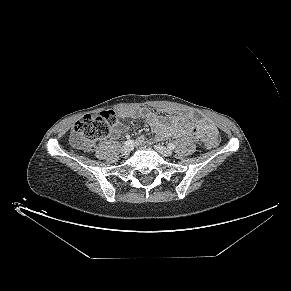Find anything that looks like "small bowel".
<instances>
[{
    "mask_svg": "<svg viewBox=\"0 0 291 291\" xmlns=\"http://www.w3.org/2000/svg\"><path fill=\"white\" fill-rule=\"evenodd\" d=\"M127 115L131 118L144 119L159 139L169 136L176 138L190 136L197 140L205 141L210 134L216 132V128L211 122L199 119L195 115L188 117L189 119L195 120L194 124L189 123L188 118L181 115L163 117L146 109L131 110ZM121 132L122 128H119L115 133L119 135ZM144 141L145 136L139 137V143H143Z\"/></svg>",
    "mask_w": 291,
    "mask_h": 291,
    "instance_id": "1",
    "label": "small bowel"
}]
</instances>
